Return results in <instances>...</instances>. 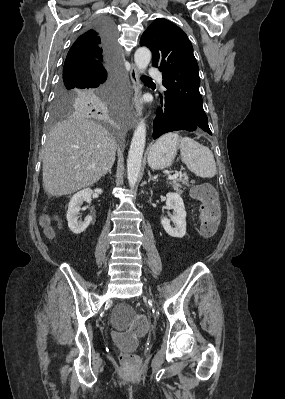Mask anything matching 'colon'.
Here are the masks:
<instances>
[{"mask_svg":"<svg viewBox=\"0 0 285 399\" xmlns=\"http://www.w3.org/2000/svg\"><path fill=\"white\" fill-rule=\"evenodd\" d=\"M191 195L200 202V210L203 216L202 235L204 237L212 236L220 221V210L216 203L214 191L209 186L198 185L192 189ZM41 228L48 235L52 233V226L47 219L41 221ZM146 330L147 320L144 317L136 316L128 329L114 333V338L121 348V359L127 368L138 363L134 351L140 337L145 334Z\"/></svg>","mask_w":285,"mask_h":399,"instance_id":"1","label":"colon"}]
</instances>
